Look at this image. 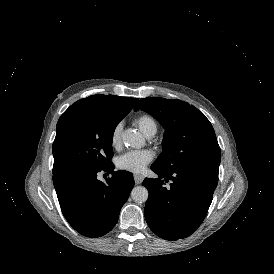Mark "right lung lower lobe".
Segmentation results:
<instances>
[{
    "instance_id": "obj_1",
    "label": "right lung lower lobe",
    "mask_w": 274,
    "mask_h": 274,
    "mask_svg": "<svg viewBox=\"0 0 274 274\" xmlns=\"http://www.w3.org/2000/svg\"><path fill=\"white\" fill-rule=\"evenodd\" d=\"M114 165L97 169L79 167L53 173V183L61 210L69 224L86 237H100L117 223L120 210L134 186L133 174L113 171ZM99 172L111 173L106 183Z\"/></svg>"
}]
</instances>
